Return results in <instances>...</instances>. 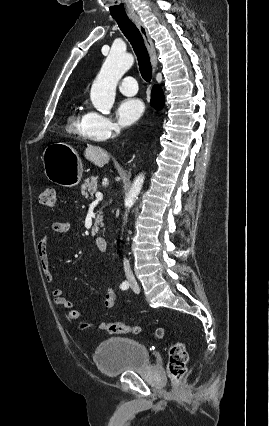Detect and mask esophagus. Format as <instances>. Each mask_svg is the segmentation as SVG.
<instances>
[{"instance_id": "34e87169", "label": "esophagus", "mask_w": 269, "mask_h": 426, "mask_svg": "<svg viewBox=\"0 0 269 426\" xmlns=\"http://www.w3.org/2000/svg\"><path fill=\"white\" fill-rule=\"evenodd\" d=\"M132 21L135 23V25L138 27L144 41L145 44L147 46V49L149 51L150 54V58H151V63H152V69H153V75H155L156 71H157V55H156V50L154 48V44L148 34V31L144 25V23L142 22V20L140 19L139 16H132L131 17Z\"/></svg>"}]
</instances>
